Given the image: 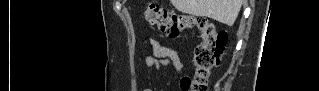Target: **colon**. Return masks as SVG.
Returning a JSON list of instances; mask_svg holds the SVG:
<instances>
[{
  "label": "colon",
  "mask_w": 319,
  "mask_h": 91,
  "mask_svg": "<svg viewBox=\"0 0 319 91\" xmlns=\"http://www.w3.org/2000/svg\"><path fill=\"white\" fill-rule=\"evenodd\" d=\"M143 20L150 26L157 27L167 36L176 38L181 34L196 29L201 36V43L194 52V74L181 80L183 91H206L213 70L218 66L227 34L218 25L208 19L192 16L150 4L142 11Z\"/></svg>",
  "instance_id": "5ec220e1"
}]
</instances>
